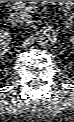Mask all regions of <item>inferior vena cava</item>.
<instances>
[{
	"mask_svg": "<svg viewBox=\"0 0 74 122\" xmlns=\"http://www.w3.org/2000/svg\"><path fill=\"white\" fill-rule=\"evenodd\" d=\"M11 22L14 25H29L32 22V16L24 9H18L11 14Z\"/></svg>",
	"mask_w": 74,
	"mask_h": 122,
	"instance_id": "1",
	"label": "inferior vena cava"
}]
</instances>
